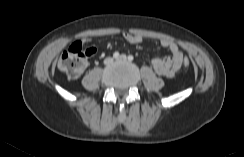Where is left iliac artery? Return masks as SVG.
<instances>
[{"instance_id": "1", "label": "left iliac artery", "mask_w": 244, "mask_h": 157, "mask_svg": "<svg viewBox=\"0 0 244 157\" xmlns=\"http://www.w3.org/2000/svg\"><path fill=\"white\" fill-rule=\"evenodd\" d=\"M128 59H129L130 61H132V60L134 59V57H133L132 55H129V56H128Z\"/></svg>"}]
</instances>
